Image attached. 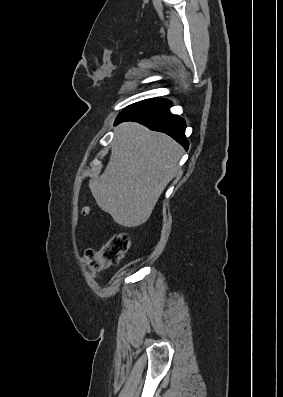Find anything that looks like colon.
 Instances as JSON below:
<instances>
[{
	"label": "colon",
	"instance_id": "1",
	"mask_svg": "<svg viewBox=\"0 0 283 397\" xmlns=\"http://www.w3.org/2000/svg\"><path fill=\"white\" fill-rule=\"evenodd\" d=\"M84 213L89 214V208H84ZM130 238L126 233L113 235L99 249H89L85 252L84 260L91 273L97 272L117 264L130 248Z\"/></svg>",
	"mask_w": 283,
	"mask_h": 397
}]
</instances>
